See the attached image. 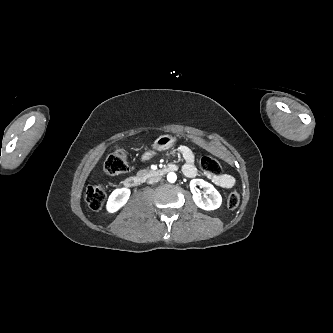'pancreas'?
<instances>
[{"label":"pancreas","mask_w":333,"mask_h":333,"mask_svg":"<svg viewBox=\"0 0 333 333\" xmlns=\"http://www.w3.org/2000/svg\"><path fill=\"white\" fill-rule=\"evenodd\" d=\"M147 174V170H140L138 173H137V176L138 177H143V176H145Z\"/></svg>","instance_id":"pancreas-1"}]
</instances>
